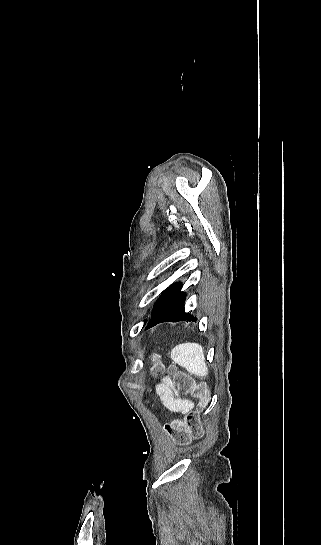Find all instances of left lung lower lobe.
Segmentation results:
<instances>
[{
    "mask_svg": "<svg viewBox=\"0 0 321 545\" xmlns=\"http://www.w3.org/2000/svg\"><path fill=\"white\" fill-rule=\"evenodd\" d=\"M181 288L182 284L178 282L168 287L162 293L154 306L151 320L146 329L166 321L177 322L196 320V317L186 313L184 310L186 294L181 292Z\"/></svg>",
    "mask_w": 321,
    "mask_h": 545,
    "instance_id": "left-lung-lower-lobe-1",
    "label": "left lung lower lobe"
}]
</instances>
